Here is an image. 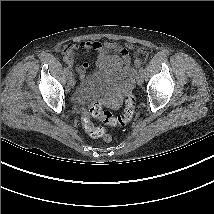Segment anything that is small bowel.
Masks as SVG:
<instances>
[{
	"instance_id": "1",
	"label": "small bowel",
	"mask_w": 214,
	"mask_h": 214,
	"mask_svg": "<svg viewBox=\"0 0 214 214\" xmlns=\"http://www.w3.org/2000/svg\"><path fill=\"white\" fill-rule=\"evenodd\" d=\"M126 48L135 51V55H139V50L133 44H127L125 48L120 44L112 41H82L77 44H72L68 48L69 55L72 56L74 53L79 50H93L97 52V61L96 64L100 71H108L109 69H121L123 73H128L130 57L126 50ZM109 52H119L121 57L117 55H110ZM67 61V58H65ZM136 63H140L138 59H136ZM70 64V63H69ZM123 65L125 67H123ZM90 66V63L84 62L77 67V71L80 75H84L85 71Z\"/></svg>"
}]
</instances>
